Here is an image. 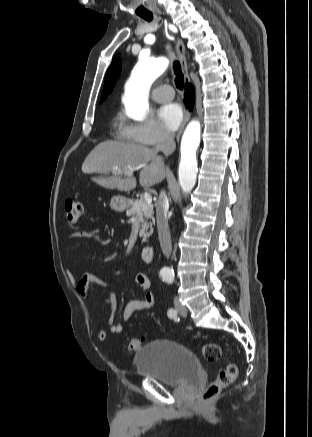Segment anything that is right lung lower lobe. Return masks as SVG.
I'll list each match as a JSON object with an SVG mask.
<instances>
[{
    "label": "right lung lower lobe",
    "mask_w": 312,
    "mask_h": 437,
    "mask_svg": "<svg viewBox=\"0 0 312 437\" xmlns=\"http://www.w3.org/2000/svg\"><path fill=\"white\" fill-rule=\"evenodd\" d=\"M194 102V90L190 84L186 85L185 103L190 108Z\"/></svg>",
    "instance_id": "98d812e1"
}]
</instances>
